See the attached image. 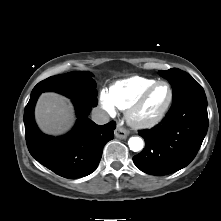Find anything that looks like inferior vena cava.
Segmentation results:
<instances>
[{
	"label": "inferior vena cava",
	"mask_w": 221,
	"mask_h": 221,
	"mask_svg": "<svg viewBox=\"0 0 221 221\" xmlns=\"http://www.w3.org/2000/svg\"><path fill=\"white\" fill-rule=\"evenodd\" d=\"M92 120L99 125H103L109 122L110 117L108 113L100 108H95L92 111Z\"/></svg>",
	"instance_id": "602c4592"
}]
</instances>
